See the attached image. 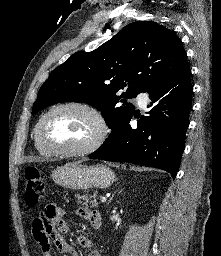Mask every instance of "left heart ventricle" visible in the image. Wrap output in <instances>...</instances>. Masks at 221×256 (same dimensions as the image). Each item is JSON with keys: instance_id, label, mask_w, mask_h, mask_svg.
<instances>
[{"instance_id": "left-heart-ventricle-1", "label": "left heart ventricle", "mask_w": 221, "mask_h": 256, "mask_svg": "<svg viewBox=\"0 0 221 256\" xmlns=\"http://www.w3.org/2000/svg\"><path fill=\"white\" fill-rule=\"evenodd\" d=\"M98 131L95 119L78 108H64L51 114L42 127L44 140L60 148H78L88 144Z\"/></svg>"}]
</instances>
